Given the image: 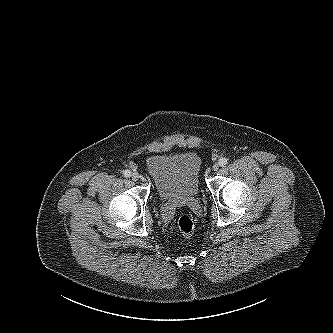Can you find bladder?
<instances>
[{"label":"bladder","mask_w":333,"mask_h":333,"mask_svg":"<svg viewBox=\"0 0 333 333\" xmlns=\"http://www.w3.org/2000/svg\"><path fill=\"white\" fill-rule=\"evenodd\" d=\"M145 167L162 200L192 198L199 193L202 159L194 151L153 155Z\"/></svg>","instance_id":"1"}]
</instances>
